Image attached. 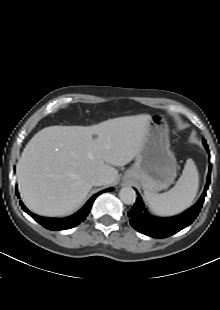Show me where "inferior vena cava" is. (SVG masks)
Listing matches in <instances>:
<instances>
[{
  "label": "inferior vena cava",
  "instance_id": "602c4592",
  "mask_svg": "<svg viewBox=\"0 0 220 310\" xmlns=\"http://www.w3.org/2000/svg\"><path fill=\"white\" fill-rule=\"evenodd\" d=\"M91 183L94 186H102L105 185L107 183V177L104 175H95L92 179H91Z\"/></svg>",
  "mask_w": 220,
  "mask_h": 310
}]
</instances>
